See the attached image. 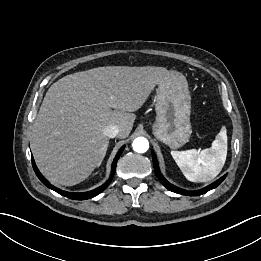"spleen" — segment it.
Masks as SVG:
<instances>
[{"mask_svg":"<svg viewBox=\"0 0 261 261\" xmlns=\"http://www.w3.org/2000/svg\"><path fill=\"white\" fill-rule=\"evenodd\" d=\"M184 176L192 182H208L222 170L227 156V134L223 126L210 148L202 151H171Z\"/></svg>","mask_w":261,"mask_h":261,"instance_id":"1","label":"spleen"}]
</instances>
